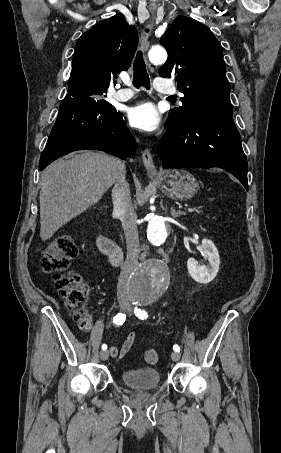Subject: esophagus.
<instances>
[{"instance_id":"esophagus-1","label":"esophagus","mask_w":281,"mask_h":453,"mask_svg":"<svg viewBox=\"0 0 281 453\" xmlns=\"http://www.w3.org/2000/svg\"><path fill=\"white\" fill-rule=\"evenodd\" d=\"M150 13H151L152 18L154 19L156 10L150 9ZM150 28H152V25H150ZM148 46H149L148 36H146L142 41V45H141L142 52H146V50L148 49ZM142 161H143L144 166L149 175H155L157 173V169L153 162V157L149 150L146 149L142 152Z\"/></svg>"}]
</instances>
